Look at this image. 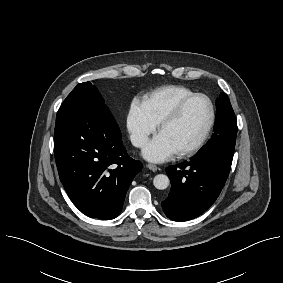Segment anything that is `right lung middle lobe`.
Listing matches in <instances>:
<instances>
[{
  "instance_id": "dd1d6c3e",
  "label": "right lung middle lobe",
  "mask_w": 283,
  "mask_h": 283,
  "mask_svg": "<svg viewBox=\"0 0 283 283\" xmlns=\"http://www.w3.org/2000/svg\"><path fill=\"white\" fill-rule=\"evenodd\" d=\"M107 108L97 88L90 82L78 84L61 105L56 121L83 110Z\"/></svg>"
}]
</instances>
